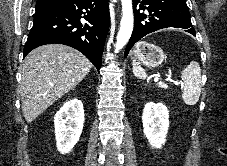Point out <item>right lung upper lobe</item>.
<instances>
[{"label":"right lung upper lobe","instance_id":"1","mask_svg":"<svg viewBox=\"0 0 227 166\" xmlns=\"http://www.w3.org/2000/svg\"><path fill=\"white\" fill-rule=\"evenodd\" d=\"M65 0H37L36 6L37 7H48L51 5H55Z\"/></svg>","mask_w":227,"mask_h":166}]
</instances>
